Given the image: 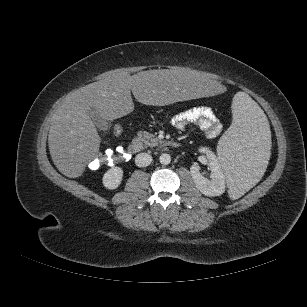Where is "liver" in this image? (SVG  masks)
Instances as JSON below:
<instances>
[{
    "label": "liver",
    "instance_id": "liver-1",
    "mask_svg": "<svg viewBox=\"0 0 307 307\" xmlns=\"http://www.w3.org/2000/svg\"><path fill=\"white\" fill-rule=\"evenodd\" d=\"M204 72L177 67L119 72L70 92L52 116L48 146L57 169L69 178L82 175L100 148V137L88 112L93 108L108 121L134 110L131 92L145 105L165 106L177 101L222 94L224 85L208 81Z\"/></svg>",
    "mask_w": 307,
    "mask_h": 307
}]
</instances>
